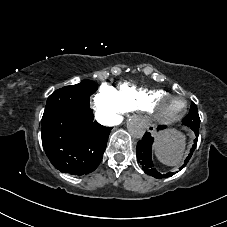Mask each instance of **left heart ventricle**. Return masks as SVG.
I'll return each instance as SVG.
<instances>
[{
    "mask_svg": "<svg viewBox=\"0 0 227 227\" xmlns=\"http://www.w3.org/2000/svg\"><path fill=\"white\" fill-rule=\"evenodd\" d=\"M181 107L180 101H171V100H165L163 101L160 111L164 114L172 113L175 110L179 109Z\"/></svg>",
    "mask_w": 227,
    "mask_h": 227,
    "instance_id": "left-heart-ventricle-1",
    "label": "left heart ventricle"
}]
</instances>
